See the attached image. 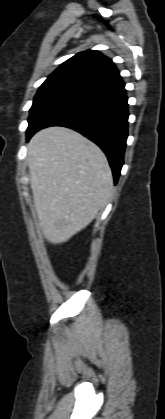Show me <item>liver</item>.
Here are the masks:
<instances>
[{
    "instance_id": "liver-1",
    "label": "liver",
    "mask_w": 165,
    "mask_h": 419,
    "mask_svg": "<svg viewBox=\"0 0 165 419\" xmlns=\"http://www.w3.org/2000/svg\"><path fill=\"white\" fill-rule=\"evenodd\" d=\"M34 207L44 238L68 241L108 204L113 177L102 150L78 132L50 127L28 143Z\"/></svg>"
}]
</instances>
